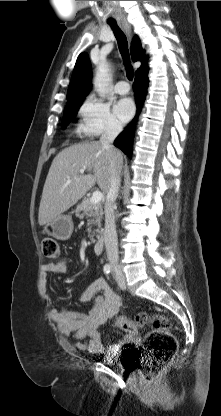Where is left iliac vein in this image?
Returning <instances> with one entry per match:
<instances>
[{"instance_id":"obj_1","label":"left iliac vein","mask_w":221,"mask_h":416,"mask_svg":"<svg viewBox=\"0 0 221 416\" xmlns=\"http://www.w3.org/2000/svg\"><path fill=\"white\" fill-rule=\"evenodd\" d=\"M117 283H118V286L121 289H125L126 288L125 277H124V275L122 273L118 274Z\"/></svg>"}]
</instances>
